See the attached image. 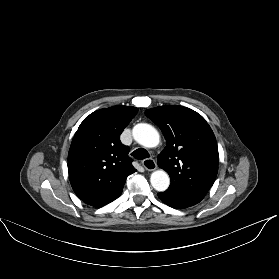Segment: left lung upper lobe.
Wrapping results in <instances>:
<instances>
[{
    "label": "left lung upper lobe",
    "instance_id": "left-lung-upper-lobe-1",
    "mask_svg": "<svg viewBox=\"0 0 279 279\" xmlns=\"http://www.w3.org/2000/svg\"><path fill=\"white\" fill-rule=\"evenodd\" d=\"M145 114L166 139L158 165L170 176L167 191L202 200L218 172V147L212 129L200 114L183 106L155 107Z\"/></svg>",
    "mask_w": 279,
    "mask_h": 279
}]
</instances>
